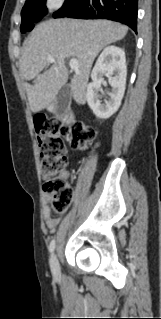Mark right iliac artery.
<instances>
[{
  "label": "right iliac artery",
  "instance_id": "obj_1",
  "mask_svg": "<svg viewBox=\"0 0 161 319\" xmlns=\"http://www.w3.org/2000/svg\"><path fill=\"white\" fill-rule=\"evenodd\" d=\"M55 249V240L53 239L50 243L49 250L52 253Z\"/></svg>",
  "mask_w": 161,
  "mask_h": 319
}]
</instances>
